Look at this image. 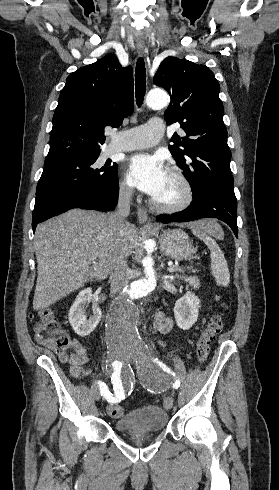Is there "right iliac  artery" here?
<instances>
[{
    "instance_id": "right-iliac-artery-1",
    "label": "right iliac artery",
    "mask_w": 279,
    "mask_h": 490,
    "mask_svg": "<svg viewBox=\"0 0 279 490\" xmlns=\"http://www.w3.org/2000/svg\"><path fill=\"white\" fill-rule=\"evenodd\" d=\"M111 365L112 368L114 369V372L111 377V381L113 384V392L111 393L109 391L108 387L104 382L99 381L98 384H99L101 396L107 399L108 402L117 403L120 400L121 401L123 400L122 397L126 392V380L125 378H119V372L121 370L122 363L116 360L112 362Z\"/></svg>"
}]
</instances>
